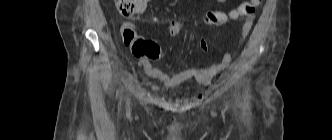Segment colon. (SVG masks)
Instances as JSON below:
<instances>
[{"mask_svg":"<svg viewBox=\"0 0 332 140\" xmlns=\"http://www.w3.org/2000/svg\"><path fill=\"white\" fill-rule=\"evenodd\" d=\"M148 0H115L118 12L130 18L142 12ZM262 0H248L242 3L233 17L239 15L250 17L254 14L256 7L261 4ZM227 21V16L219 11L208 12L202 21L204 29L218 27ZM188 24L184 21L173 20L169 22L167 31L170 36H179L187 31ZM122 38L124 43L129 46L132 53L137 57H145L152 60H158L162 57V50L157 43L140 37L132 24L126 23L122 27Z\"/></svg>","mask_w":332,"mask_h":140,"instance_id":"1","label":"colon"}]
</instances>
